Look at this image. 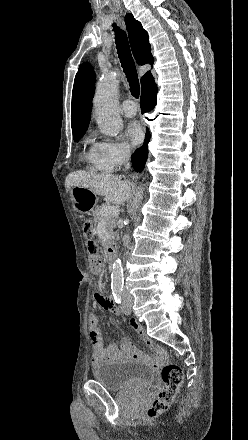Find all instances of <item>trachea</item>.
Returning <instances> with one entry per match:
<instances>
[{"mask_svg": "<svg viewBox=\"0 0 248 440\" xmlns=\"http://www.w3.org/2000/svg\"><path fill=\"white\" fill-rule=\"evenodd\" d=\"M115 31V43L117 48L118 57L121 62V66L129 82L130 92L135 98H139L140 85L137 75L135 62L133 60L128 38L126 33L121 30L116 24H113Z\"/></svg>", "mask_w": 248, "mask_h": 440, "instance_id": "3493384b", "label": "trachea"}]
</instances>
